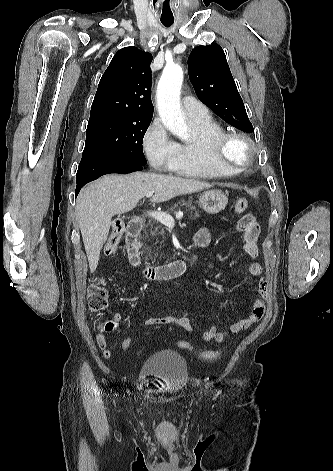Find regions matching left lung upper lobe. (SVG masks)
<instances>
[{"label":"left lung upper lobe","instance_id":"5c2ea615","mask_svg":"<svg viewBox=\"0 0 333 471\" xmlns=\"http://www.w3.org/2000/svg\"><path fill=\"white\" fill-rule=\"evenodd\" d=\"M189 78L198 98L230 125L254 132L223 49L218 44L194 48L188 59Z\"/></svg>","mask_w":333,"mask_h":471}]
</instances>
